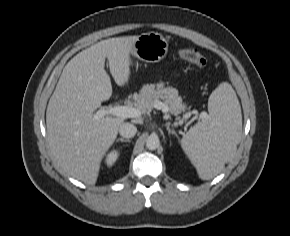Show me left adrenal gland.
<instances>
[{
	"instance_id": "obj_1",
	"label": "left adrenal gland",
	"mask_w": 290,
	"mask_h": 236,
	"mask_svg": "<svg viewBox=\"0 0 290 236\" xmlns=\"http://www.w3.org/2000/svg\"><path fill=\"white\" fill-rule=\"evenodd\" d=\"M165 126H166V129L168 130L169 135L172 134V135H175L176 137H178L177 133L170 128L169 124H165Z\"/></svg>"
}]
</instances>
